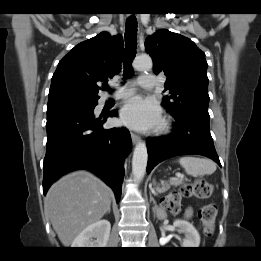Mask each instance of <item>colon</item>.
Masks as SVG:
<instances>
[{"instance_id": "1", "label": "colon", "mask_w": 261, "mask_h": 261, "mask_svg": "<svg viewBox=\"0 0 261 261\" xmlns=\"http://www.w3.org/2000/svg\"><path fill=\"white\" fill-rule=\"evenodd\" d=\"M213 193V186L205 180H198L181 186L176 192L165 196L161 202L164 209L173 214H178L182 210V198L206 199ZM216 217V206L208 204L199 211V220L204 227L206 236L213 234L214 220Z\"/></svg>"}]
</instances>
